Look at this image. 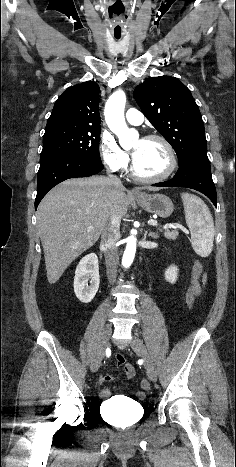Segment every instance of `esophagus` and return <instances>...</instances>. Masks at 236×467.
<instances>
[{"instance_id": "obj_1", "label": "esophagus", "mask_w": 236, "mask_h": 467, "mask_svg": "<svg viewBox=\"0 0 236 467\" xmlns=\"http://www.w3.org/2000/svg\"><path fill=\"white\" fill-rule=\"evenodd\" d=\"M130 194H132V195H140V191L137 190V189H132V190H130Z\"/></svg>"}]
</instances>
